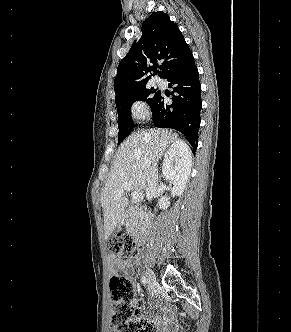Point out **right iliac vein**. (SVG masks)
Returning <instances> with one entry per match:
<instances>
[{"label":"right iliac vein","mask_w":291,"mask_h":332,"mask_svg":"<svg viewBox=\"0 0 291 332\" xmlns=\"http://www.w3.org/2000/svg\"><path fill=\"white\" fill-rule=\"evenodd\" d=\"M146 278H147L149 290L153 291L157 285V281H156V276L151 269L147 270Z\"/></svg>","instance_id":"right-iliac-vein-1"}]
</instances>
